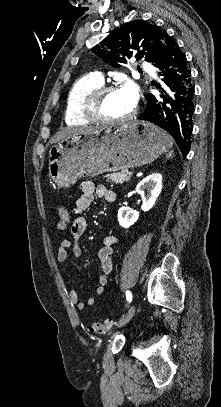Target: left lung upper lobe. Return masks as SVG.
<instances>
[{"label": "left lung upper lobe", "mask_w": 221, "mask_h": 407, "mask_svg": "<svg viewBox=\"0 0 221 407\" xmlns=\"http://www.w3.org/2000/svg\"><path fill=\"white\" fill-rule=\"evenodd\" d=\"M173 41L157 25L143 20H134L110 33L91 52L112 67H120L127 58H144L154 66L162 59L167 44Z\"/></svg>", "instance_id": "1"}]
</instances>
